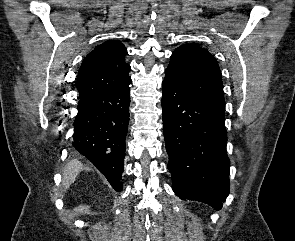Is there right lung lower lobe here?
<instances>
[{"instance_id":"obj_1","label":"right lung lower lobe","mask_w":295,"mask_h":241,"mask_svg":"<svg viewBox=\"0 0 295 241\" xmlns=\"http://www.w3.org/2000/svg\"><path fill=\"white\" fill-rule=\"evenodd\" d=\"M131 80L115 89L80 98L72 145L105 175L118 192L124 169Z\"/></svg>"}]
</instances>
